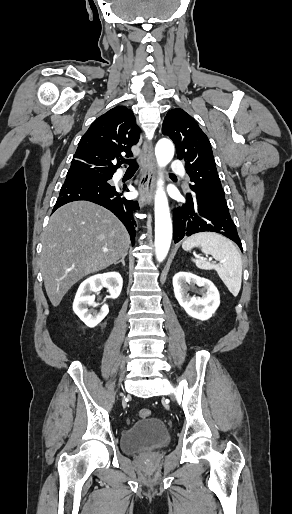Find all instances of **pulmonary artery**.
Wrapping results in <instances>:
<instances>
[{
    "mask_svg": "<svg viewBox=\"0 0 292 514\" xmlns=\"http://www.w3.org/2000/svg\"><path fill=\"white\" fill-rule=\"evenodd\" d=\"M171 169L175 172H180L183 169V164L180 161H175L171 164Z\"/></svg>",
    "mask_w": 292,
    "mask_h": 514,
    "instance_id": "pulmonary-artery-1",
    "label": "pulmonary artery"
}]
</instances>
